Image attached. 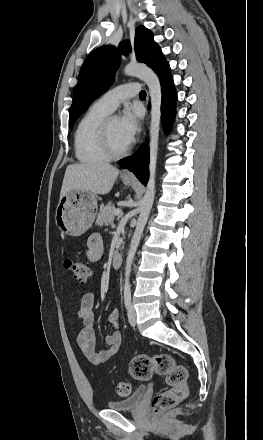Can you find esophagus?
<instances>
[{"label": "esophagus", "mask_w": 263, "mask_h": 440, "mask_svg": "<svg viewBox=\"0 0 263 440\" xmlns=\"http://www.w3.org/2000/svg\"><path fill=\"white\" fill-rule=\"evenodd\" d=\"M121 175H122V177L125 178V179H134V175H133L132 172L129 171L128 169H125V170L122 172Z\"/></svg>", "instance_id": "34e87169"}]
</instances>
